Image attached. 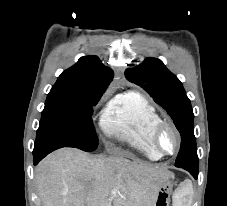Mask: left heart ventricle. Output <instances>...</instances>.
Wrapping results in <instances>:
<instances>
[{
    "label": "left heart ventricle",
    "mask_w": 227,
    "mask_h": 206,
    "mask_svg": "<svg viewBox=\"0 0 227 206\" xmlns=\"http://www.w3.org/2000/svg\"><path fill=\"white\" fill-rule=\"evenodd\" d=\"M160 146L167 153H171L174 151L176 146V140L173 133L170 130H166L162 134L160 139Z\"/></svg>",
    "instance_id": "obj_1"
}]
</instances>
